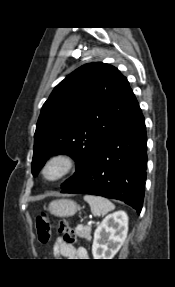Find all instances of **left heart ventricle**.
I'll return each mask as SVG.
<instances>
[{"label": "left heart ventricle", "instance_id": "b2bd125f", "mask_svg": "<svg viewBox=\"0 0 175 287\" xmlns=\"http://www.w3.org/2000/svg\"><path fill=\"white\" fill-rule=\"evenodd\" d=\"M59 172V167L54 166L48 170V176L52 177L55 176Z\"/></svg>", "mask_w": 175, "mask_h": 287}]
</instances>
